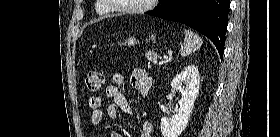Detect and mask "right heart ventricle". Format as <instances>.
<instances>
[{
	"label": "right heart ventricle",
	"instance_id": "1",
	"mask_svg": "<svg viewBox=\"0 0 280 137\" xmlns=\"http://www.w3.org/2000/svg\"><path fill=\"white\" fill-rule=\"evenodd\" d=\"M95 11L97 14L99 15H106L110 12L109 8L107 7V5L104 3V1L102 0H96L95 1Z\"/></svg>",
	"mask_w": 280,
	"mask_h": 137
}]
</instances>
